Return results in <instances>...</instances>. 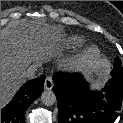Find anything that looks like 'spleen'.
<instances>
[{
    "instance_id": "obj_1",
    "label": "spleen",
    "mask_w": 123,
    "mask_h": 123,
    "mask_svg": "<svg viewBox=\"0 0 123 123\" xmlns=\"http://www.w3.org/2000/svg\"><path fill=\"white\" fill-rule=\"evenodd\" d=\"M103 84V82H98V83H96L94 86H93V88L95 89V88H100V86Z\"/></svg>"
}]
</instances>
